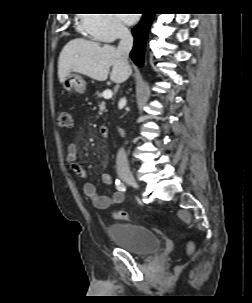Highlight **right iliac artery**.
Segmentation results:
<instances>
[{"instance_id": "right-iliac-artery-1", "label": "right iliac artery", "mask_w": 252, "mask_h": 303, "mask_svg": "<svg viewBox=\"0 0 252 303\" xmlns=\"http://www.w3.org/2000/svg\"><path fill=\"white\" fill-rule=\"evenodd\" d=\"M115 184H116V187H117L118 190L126 191V186L120 180L116 179Z\"/></svg>"}]
</instances>
